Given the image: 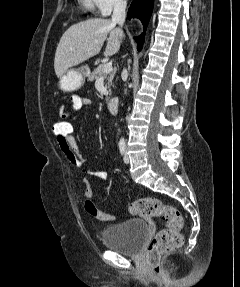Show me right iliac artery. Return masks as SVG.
I'll list each match as a JSON object with an SVG mask.
<instances>
[{
    "instance_id": "obj_1",
    "label": "right iliac artery",
    "mask_w": 240,
    "mask_h": 287,
    "mask_svg": "<svg viewBox=\"0 0 240 287\" xmlns=\"http://www.w3.org/2000/svg\"><path fill=\"white\" fill-rule=\"evenodd\" d=\"M119 150H120L121 155L125 154L126 145H125V141L124 140H120V142H119Z\"/></svg>"
}]
</instances>
